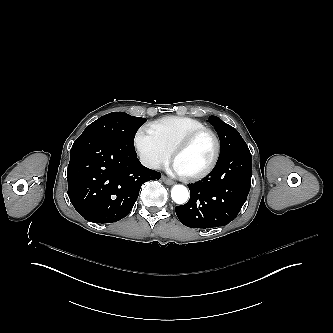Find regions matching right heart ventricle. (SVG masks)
Returning a JSON list of instances; mask_svg holds the SVG:
<instances>
[{"label":"right heart ventricle","instance_id":"1","mask_svg":"<svg viewBox=\"0 0 333 333\" xmlns=\"http://www.w3.org/2000/svg\"><path fill=\"white\" fill-rule=\"evenodd\" d=\"M200 128L206 126L198 120L184 116H168L146 124L141 131L144 138L158 142L170 151L182 137Z\"/></svg>","mask_w":333,"mask_h":333}]
</instances>
